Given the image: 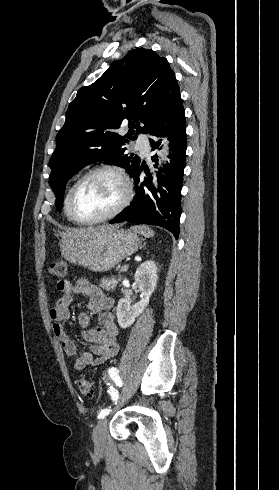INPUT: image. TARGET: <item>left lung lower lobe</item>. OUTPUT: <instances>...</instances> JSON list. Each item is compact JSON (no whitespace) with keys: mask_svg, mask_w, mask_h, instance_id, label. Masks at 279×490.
<instances>
[{"mask_svg":"<svg viewBox=\"0 0 279 490\" xmlns=\"http://www.w3.org/2000/svg\"><path fill=\"white\" fill-rule=\"evenodd\" d=\"M182 99L179 97L165 112L162 118L154 123L148 133L155 137L150 139L152 151L160 147L157 138L168 136L172 153L168 156L170 163L160 169L157 184L153 185L148 168L142 163L132 174L136 185L133 202L119 213L110 223L124 221L157 225L169 230L176 239L179 236L181 215V188L186 160L187 135L186 120ZM157 156L152 157L156 164ZM145 170L147 178L140 180L141 171Z\"/></svg>","mask_w":279,"mask_h":490,"instance_id":"left-lung-lower-lobe-1","label":"left lung lower lobe"}]
</instances>
